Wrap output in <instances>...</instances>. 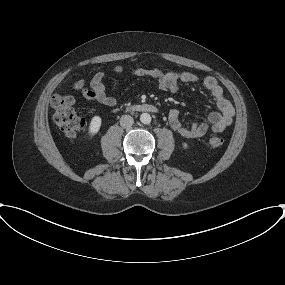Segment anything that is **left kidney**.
Wrapping results in <instances>:
<instances>
[{
    "instance_id": "1",
    "label": "left kidney",
    "mask_w": 285,
    "mask_h": 285,
    "mask_svg": "<svg viewBox=\"0 0 285 285\" xmlns=\"http://www.w3.org/2000/svg\"><path fill=\"white\" fill-rule=\"evenodd\" d=\"M182 145H183L184 149H187V147H188L187 143H183Z\"/></svg>"
}]
</instances>
